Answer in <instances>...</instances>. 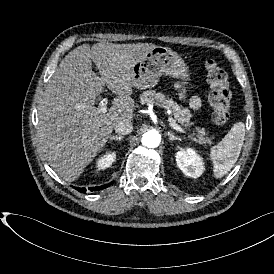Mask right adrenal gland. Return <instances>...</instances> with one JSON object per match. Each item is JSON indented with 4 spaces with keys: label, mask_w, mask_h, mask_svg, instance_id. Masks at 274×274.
Listing matches in <instances>:
<instances>
[{
    "label": "right adrenal gland",
    "mask_w": 274,
    "mask_h": 274,
    "mask_svg": "<svg viewBox=\"0 0 274 274\" xmlns=\"http://www.w3.org/2000/svg\"><path fill=\"white\" fill-rule=\"evenodd\" d=\"M124 138L123 135H115V136H109L108 143H111L112 141L120 142Z\"/></svg>",
    "instance_id": "2a0ac1e0"
}]
</instances>
